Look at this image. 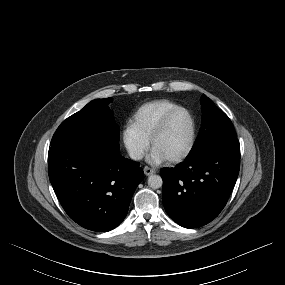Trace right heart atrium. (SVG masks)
<instances>
[{"instance_id": "1", "label": "right heart atrium", "mask_w": 285, "mask_h": 285, "mask_svg": "<svg viewBox=\"0 0 285 285\" xmlns=\"http://www.w3.org/2000/svg\"><path fill=\"white\" fill-rule=\"evenodd\" d=\"M123 144L133 160H140L149 147V142L143 138L131 125L128 123L122 132Z\"/></svg>"}]
</instances>
